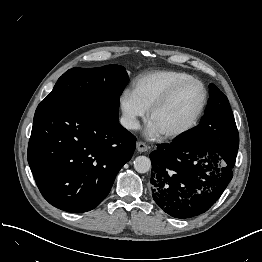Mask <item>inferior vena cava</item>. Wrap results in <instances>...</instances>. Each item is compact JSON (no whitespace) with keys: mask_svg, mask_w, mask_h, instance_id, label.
I'll use <instances>...</instances> for the list:
<instances>
[{"mask_svg":"<svg viewBox=\"0 0 262 262\" xmlns=\"http://www.w3.org/2000/svg\"><path fill=\"white\" fill-rule=\"evenodd\" d=\"M120 123L126 129H138L139 128L138 121L132 116L121 117Z\"/></svg>","mask_w":262,"mask_h":262,"instance_id":"inferior-vena-cava-1","label":"inferior vena cava"}]
</instances>
